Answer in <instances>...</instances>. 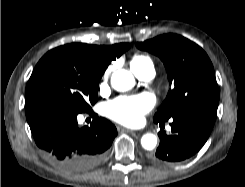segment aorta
<instances>
[{
	"instance_id": "obj_1",
	"label": "aorta",
	"mask_w": 245,
	"mask_h": 187,
	"mask_svg": "<svg viewBox=\"0 0 245 187\" xmlns=\"http://www.w3.org/2000/svg\"><path fill=\"white\" fill-rule=\"evenodd\" d=\"M135 84L133 75L125 70L115 71L111 76L112 87L120 92L130 90ZM157 144V137L154 134L147 133L141 138V145L146 150H153Z\"/></svg>"
}]
</instances>
